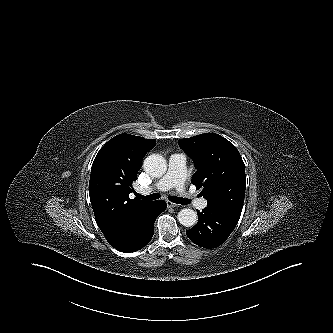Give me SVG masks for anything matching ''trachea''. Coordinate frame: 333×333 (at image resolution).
<instances>
[{
	"label": "trachea",
	"mask_w": 333,
	"mask_h": 333,
	"mask_svg": "<svg viewBox=\"0 0 333 333\" xmlns=\"http://www.w3.org/2000/svg\"><path fill=\"white\" fill-rule=\"evenodd\" d=\"M137 197L140 198V199H142V200L151 201V200H156V199L160 198V195L157 194V193H154V194H151V195H147V196H143V195L137 194ZM168 199L171 202L176 203V204H182V205L189 204V201L187 199L176 197V196H169Z\"/></svg>",
	"instance_id": "1"
}]
</instances>
